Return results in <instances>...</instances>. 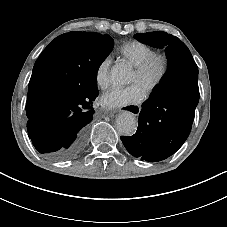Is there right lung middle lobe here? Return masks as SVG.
I'll use <instances>...</instances> for the list:
<instances>
[{
	"label": "right lung middle lobe",
	"instance_id": "obj_1",
	"mask_svg": "<svg viewBox=\"0 0 227 227\" xmlns=\"http://www.w3.org/2000/svg\"><path fill=\"white\" fill-rule=\"evenodd\" d=\"M113 46L109 35L69 32L55 38L44 51L77 71L79 81L73 94L85 95L98 91L97 72Z\"/></svg>",
	"mask_w": 227,
	"mask_h": 227
}]
</instances>
